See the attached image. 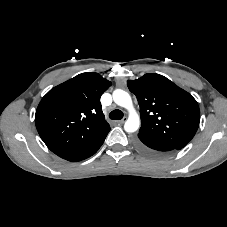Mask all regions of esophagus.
Listing matches in <instances>:
<instances>
[{
	"mask_svg": "<svg viewBox=\"0 0 227 227\" xmlns=\"http://www.w3.org/2000/svg\"><path fill=\"white\" fill-rule=\"evenodd\" d=\"M126 119H127V118L124 117V118L121 119V120H117L116 123H117V124H123V123L126 121Z\"/></svg>",
	"mask_w": 227,
	"mask_h": 227,
	"instance_id": "1",
	"label": "esophagus"
}]
</instances>
